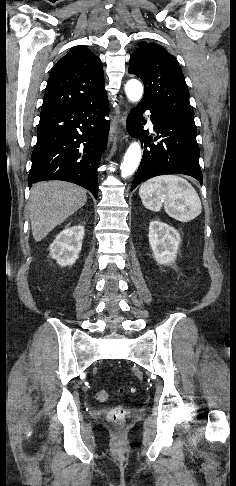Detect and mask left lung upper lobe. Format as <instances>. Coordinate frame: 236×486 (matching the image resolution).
<instances>
[{"mask_svg":"<svg viewBox=\"0 0 236 486\" xmlns=\"http://www.w3.org/2000/svg\"><path fill=\"white\" fill-rule=\"evenodd\" d=\"M128 72L143 81L142 100L156 104L173 118L194 124L184 75L178 61L166 49L156 43L141 42L130 57Z\"/></svg>","mask_w":236,"mask_h":486,"instance_id":"1","label":"left lung upper lobe"}]
</instances>
